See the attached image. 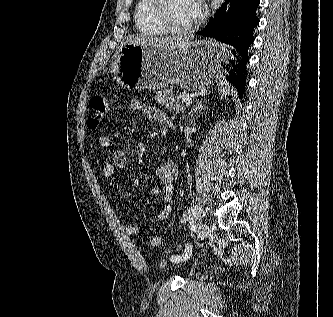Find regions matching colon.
Returning a JSON list of instances; mask_svg holds the SVG:
<instances>
[{"mask_svg":"<svg viewBox=\"0 0 333 317\" xmlns=\"http://www.w3.org/2000/svg\"><path fill=\"white\" fill-rule=\"evenodd\" d=\"M109 110V101L104 96H93L90 99V116L88 119V127L91 130H96L102 120L105 118ZM161 238L153 236L151 240L152 246H159Z\"/></svg>","mask_w":333,"mask_h":317,"instance_id":"obj_1","label":"colon"}]
</instances>
